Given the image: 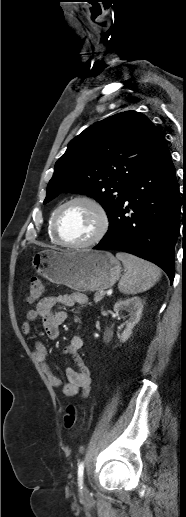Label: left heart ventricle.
Returning <instances> with one entry per match:
<instances>
[{
    "label": "left heart ventricle",
    "mask_w": 186,
    "mask_h": 517,
    "mask_svg": "<svg viewBox=\"0 0 186 517\" xmlns=\"http://www.w3.org/2000/svg\"><path fill=\"white\" fill-rule=\"evenodd\" d=\"M98 228L96 212L85 203L68 206L60 215L58 229L61 237L70 243L91 238Z\"/></svg>",
    "instance_id": "obj_1"
}]
</instances>
